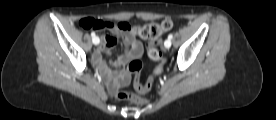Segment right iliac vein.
Returning <instances> with one entry per match:
<instances>
[{
    "instance_id": "1",
    "label": "right iliac vein",
    "mask_w": 276,
    "mask_h": 120,
    "mask_svg": "<svg viewBox=\"0 0 276 120\" xmlns=\"http://www.w3.org/2000/svg\"><path fill=\"white\" fill-rule=\"evenodd\" d=\"M98 39V37H96V40ZM95 45H98L99 43H94Z\"/></svg>"
}]
</instances>
